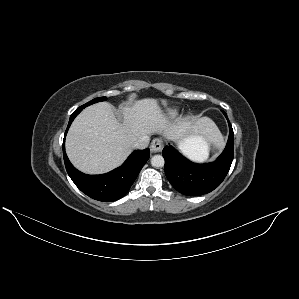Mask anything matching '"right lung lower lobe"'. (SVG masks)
<instances>
[{"instance_id":"1","label":"right lung lower lobe","mask_w":299,"mask_h":299,"mask_svg":"<svg viewBox=\"0 0 299 299\" xmlns=\"http://www.w3.org/2000/svg\"><path fill=\"white\" fill-rule=\"evenodd\" d=\"M84 108L83 106L79 107L71 115L65 132L64 142L72 121ZM64 142L63 157L68 175L83 193L95 200L103 202H112L122 198L128 192L150 156V150L148 148L135 150L119 168L106 174L87 175L78 171L70 163L65 153Z\"/></svg>"}]
</instances>
